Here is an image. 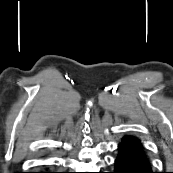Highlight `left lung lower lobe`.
<instances>
[{
	"label": "left lung lower lobe",
	"mask_w": 173,
	"mask_h": 173,
	"mask_svg": "<svg viewBox=\"0 0 173 173\" xmlns=\"http://www.w3.org/2000/svg\"><path fill=\"white\" fill-rule=\"evenodd\" d=\"M113 173H154L142 145L121 141Z\"/></svg>",
	"instance_id": "obj_1"
}]
</instances>
